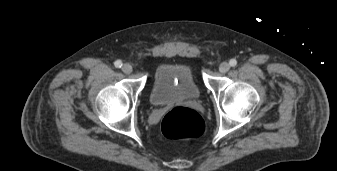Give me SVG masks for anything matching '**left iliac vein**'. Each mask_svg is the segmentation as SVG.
Here are the masks:
<instances>
[{
    "instance_id": "obj_1",
    "label": "left iliac vein",
    "mask_w": 337,
    "mask_h": 171,
    "mask_svg": "<svg viewBox=\"0 0 337 171\" xmlns=\"http://www.w3.org/2000/svg\"><path fill=\"white\" fill-rule=\"evenodd\" d=\"M230 69V65L227 62H222L219 65V71L221 73H226Z\"/></svg>"
}]
</instances>
